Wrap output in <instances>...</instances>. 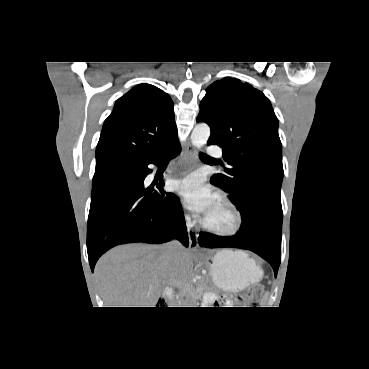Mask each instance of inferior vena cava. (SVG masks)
Segmentation results:
<instances>
[{"instance_id":"1","label":"inferior vena cava","mask_w":369,"mask_h":369,"mask_svg":"<svg viewBox=\"0 0 369 369\" xmlns=\"http://www.w3.org/2000/svg\"><path fill=\"white\" fill-rule=\"evenodd\" d=\"M181 244L177 241H171L168 244L165 245V253L168 256H172L173 254H175L180 248H181Z\"/></svg>"}]
</instances>
